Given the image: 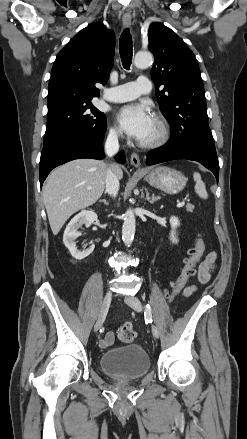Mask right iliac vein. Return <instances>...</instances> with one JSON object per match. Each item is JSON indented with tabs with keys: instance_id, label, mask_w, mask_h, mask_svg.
<instances>
[{
	"instance_id": "obj_1",
	"label": "right iliac vein",
	"mask_w": 247,
	"mask_h": 439,
	"mask_svg": "<svg viewBox=\"0 0 247 439\" xmlns=\"http://www.w3.org/2000/svg\"><path fill=\"white\" fill-rule=\"evenodd\" d=\"M111 300H112V293L110 291H108L103 299L97 321L94 325V332H97L99 330V328L101 327V325L103 324L105 317L108 313V310H109V307L111 304Z\"/></svg>"
}]
</instances>
